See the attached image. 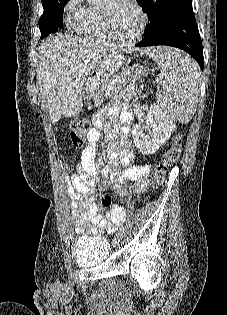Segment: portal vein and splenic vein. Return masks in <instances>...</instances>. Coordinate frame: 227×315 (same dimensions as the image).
I'll list each match as a JSON object with an SVG mask.
<instances>
[{"label":"portal vein and splenic vein","mask_w":227,"mask_h":315,"mask_svg":"<svg viewBox=\"0 0 227 315\" xmlns=\"http://www.w3.org/2000/svg\"><path fill=\"white\" fill-rule=\"evenodd\" d=\"M117 78H115L113 81H112V83H111V85H115L116 83H117Z\"/></svg>","instance_id":"18ae733b"}]
</instances>
